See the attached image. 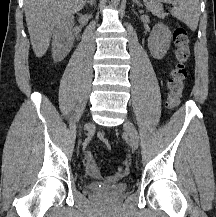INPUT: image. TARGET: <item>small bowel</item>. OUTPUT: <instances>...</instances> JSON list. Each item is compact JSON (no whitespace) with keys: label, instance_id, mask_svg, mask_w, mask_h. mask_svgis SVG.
Segmentation results:
<instances>
[{"label":"small bowel","instance_id":"c3829d8e","mask_svg":"<svg viewBox=\"0 0 216 217\" xmlns=\"http://www.w3.org/2000/svg\"><path fill=\"white\" fill-rule=\"evenodd\" d=\"M85 166H86V173L97 180L101 179L100 176V170H99V165L95 161L93 154L90 151H87L85 154ZM116 181V176H110L106 179V182L108 183H113Z\"/></svg>","mask_w":216,"mask_h":217}]
</instances>
